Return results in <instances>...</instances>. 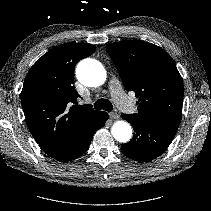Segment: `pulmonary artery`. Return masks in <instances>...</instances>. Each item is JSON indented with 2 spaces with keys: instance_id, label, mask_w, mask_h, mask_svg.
Here are the masks:
<instances>
[{
  "instance_id": "obj_1",
  "label": "pulmonary artery",
  "mask_w": 211,
  "mask_h": 211,
  "mask_svg": "<svg viewBox=\"0 0 211 211\" xmlns=\"http://www.w3.org/2000/svg\"><path fill=\"white\" fill-rule=\"evenodd\" d=\"M109 90L117 106L122 111L129 112L132 104L129 98L126 96L121 82L117 78H114L111 80L110 85H109Z\"/></svg>"
}]
</instances>
